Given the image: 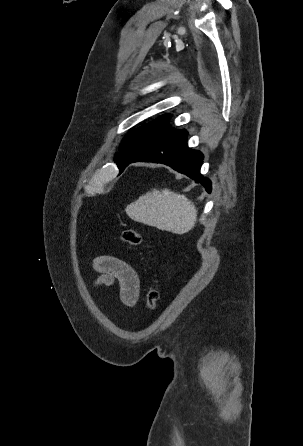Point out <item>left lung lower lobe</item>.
I'll use <instances>...</instances> for the list:
<instances>
[{"label": "left lung lower lobe", "mask_w": 303, "mask_h": 446, "mask_svg": "<svg viewBox=\"0 0 303 446\" xmlns=\"http://www.w3.org/2000/svg\"><path fill=\"white\" fill-rule=\"evenodd\" d=\"M187 135L188 132L181 129L154 143L138 155L127 159L119 167L120 173L133 162L162 163L199 182L207 192H211L210 180L200 174L203 154L187 147Z\"/></svg>", "instance_id": "obj_1"}]
</instances>
